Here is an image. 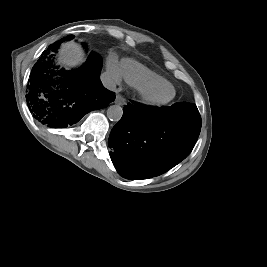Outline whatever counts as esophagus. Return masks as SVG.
Masks as SVG:
<instances>
[{
  "mask_svg": "<svg viewBox=\"0 0 267 267\" xmlns=\"http://www.w3.org/2000/svg\"><path fill=\"white\" fill-rule=\"evenodd\" d=\"M115 103L118 104V105H125L126 104V100L121 95L118 94L116 96Z\"/></svg>",
  "mask_w": 267,
  "mask_h": 267,
  "instance_id": "obj_1",
  "label": "esophagus"
}]
</instances>
